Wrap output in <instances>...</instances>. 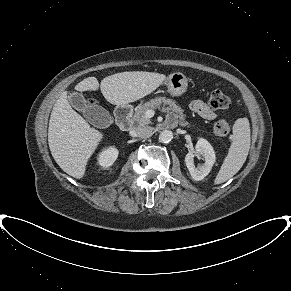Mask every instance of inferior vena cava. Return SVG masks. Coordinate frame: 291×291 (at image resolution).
I'll return each mask as SVG.
<instances>
[{
  "mask_svg": "<svg viewBox=\"0 0 291 291\" xmlns=\"http://www.w3.org/2000/svg\"><path fill=\"white\" fill-rule=\"evenodd\" d=\"M136 136L141 137V138H147L152 136L153 134V128L150 126H142L138 127L135 131Z\"/></svg>",
  "mask_w": 291,
  "mask_h": 291,
  "instance_id": "inferior-vena-cava-1",
  "label": "inferior vena cava"
}]
</instances>
